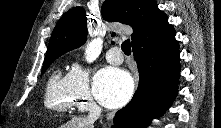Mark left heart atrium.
Wrapping results in <instances>:
<instances>
[{
    "label": "left heart atrium",
    "instance_id": "obj_1",
    "mask_svg": "<svg viewBox=\"0 0 221 128\" xmlns=\"http://www.w3.org/2000/svg\"><path fill=\"white\" fill-rule=\"evenodd\" d=\"M134 91L133 81L128 73L116 68L101 70L94 81L93 93L105 107L115 108L129 101Z\"/></svg>",
    "mask_w": 221,
    "mask_h": 128
}]
</instances>
